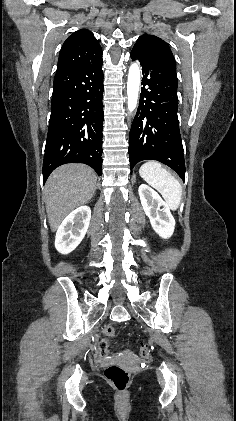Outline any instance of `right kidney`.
Masks as SVG:
<instances>
[{
    "mask_svg": "<svg viewBox=\"0 0 236 421\" xmlns=\"http://www.w3.org/2000/svg\"><path fill=\"white\" fill-rule=\"evenodd\" d=\"M91 219L90 206H78L61 223L55 237V249L62 255L74 251L84 239Z\"/></svg>",
    "mask_w": 236,
    "mask_h": 421,
    "instance_id": "right-kidney-1",
    "label": "right kidney"
}]
</instances>
